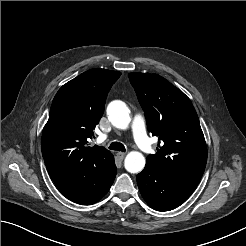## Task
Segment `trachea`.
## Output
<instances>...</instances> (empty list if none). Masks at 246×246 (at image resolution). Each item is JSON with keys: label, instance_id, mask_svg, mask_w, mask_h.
<instances>
[{"label": "trachea", "instance_id": "1", "mask_svg": "<svg viewBox=\"0 0 246 246\" xmlns=\"http://www.w3.org/2000/svg\"><path fill=\"white\" fill-rule=\"evenodd\" d=\"M109 149L111 150H118V151H125V146L119 142H112L109 145Z\"/></svg>", "mask_w": 246, "mask_h": 246}]
</instances>
